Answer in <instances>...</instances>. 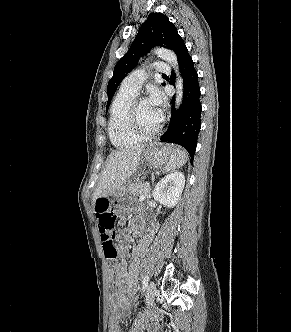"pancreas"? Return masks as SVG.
Instances as JSON below:
<instances>
[{
	"mask_svg": "<svg viewBox=\"0 0 291 332\" xmlns=\"http://www.w3.org/2000/svg\"><path fill=\"white\" fill-rule=\"evenodd\" d=\"M150 190L151 188L148 182H136L128 187V191L130 192V194L139 197L148 196Z\"/></svg>",
	"mask_w": 291,
	"mask_h": 332,
	"instance_id": "1",
	"label": "pancreas"
}]
</instances>
